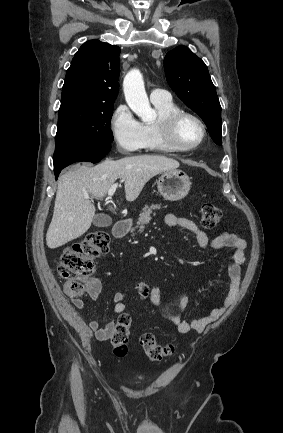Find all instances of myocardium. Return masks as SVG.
Instances as JSON below:
<instances>
[{
	"label": "myocardium",
	"mask_w": 283,
	"mask_h": 433,
	"mask_svg": "<svg viewBox=\"0 0 283 433\" xmlns=\"http://www.w3.org/2000/svg\"><path fill=\"white\" fill-rule=\"evenodd\" d=\"M185 118L194 120L201 129V137L194 143L184 146L177 140L176 133L180 122ZM208 134L205 122L195 113L187 110H177L171 113L163 125V139L169 149L176 152H189L197 149L206 139Z\"/></svg>",
	"instance_id": "myocardium-1"
}]
</instances>
